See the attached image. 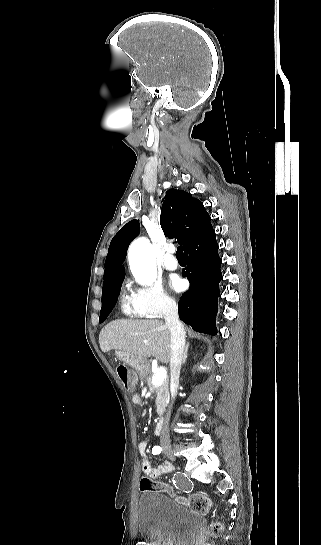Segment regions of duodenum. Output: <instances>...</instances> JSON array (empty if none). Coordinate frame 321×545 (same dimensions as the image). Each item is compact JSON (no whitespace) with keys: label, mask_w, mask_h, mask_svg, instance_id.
Listing matches in <instances>:
<instances>
[{"label":"duodenum","mask_w":321,"mask_h":545,"mask_svg":"<svg viewBox=\"0 0 321 545\" xmlns=\"http://www.w3.org/2000/svg\"><path fill=\"white\" fill-rule=\"evenodd\" d=\"M164 424H165V419L163 417L159 418V420H158V422L156 424V429H155V432H156L157 435L162 434Z\"/></svg>","instance_id":"duodenum-1"}]
</instances>
